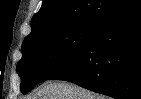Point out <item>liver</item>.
I'll return each mask as SVG.
<instances>
[{
    "label": "liver",
    "instance_id": "obj_1",
    "mask_svg": "<svg viewBox=\"0 0 141 99\" xmlns=\"http://www.w3.org/2000/svg\"><path fill=\"white\" fill-rule=\"evenodd\" d=\"M27 99H106L73 83L56 81L40 86Z\"/></svg>",
    "mask_w": 141,
    "mask_h": 99
}]
</instances>
